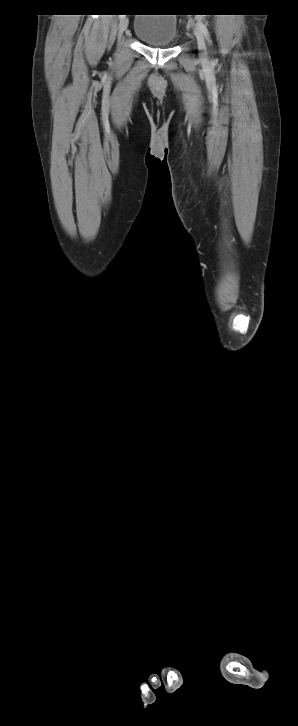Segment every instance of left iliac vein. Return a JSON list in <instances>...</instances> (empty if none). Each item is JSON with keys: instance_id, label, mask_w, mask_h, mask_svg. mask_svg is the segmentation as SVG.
<instances>
[{"instance_id": "left-iliac-vein-1", "label": "left iliac vein", "mask_w": 298, "mask_h": 726, "mask_svg": "<svg viewBox=\"0 0 298 726\" xmlns=\"http://www.w3.org/2000/svg\"><path fill=\"white\" fill-rule=\"evenodd\" d=\"M194 35L196 37L198 49L200 51V59L203 62H207L208 61V52H207V46H206L204 35L198 27L194 28Z\"/></svg>"}]
</instances>
